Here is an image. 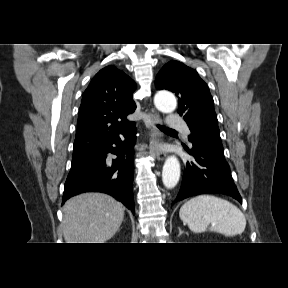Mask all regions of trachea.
<instances>
[{
    "label": "trachea",
    "mask_w": 288,
    "mask_h": 288,
    "mask_svg": "<svg viewBox=\"0 0 288 288\" xmlns=\"http://www.w3.org/2000/svg\"><path fill=\"white\" fill-rule=\"evenodd\" d=\"M157 127L162 131H175L174 129H171L162 125H157Z\"/></svg>",
    "instance_id": "3493384b"
}]
</instances>
